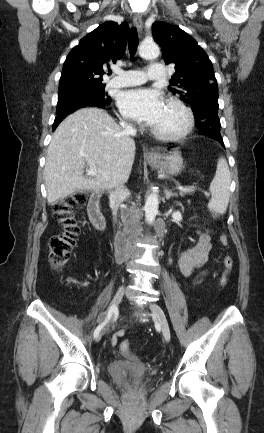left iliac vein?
<instances>
[{
	"instance_id": "1",
	"label": "left iliac vein",
	"mask_w": 264,
	"mask_h": 433,
	"mask_svg": "<svg viewBox=\"0 0 264 433\" xmlns=\"http://www.w3.org/2000/svg\"><path fill=\"white\" fill-rule=\"evenodd\" d=\"M150 309L153 313L154 318L156 319V321L159 323L164 339L169 342L170 338H171V333H170V328H169V324L167 321V318L163 312V310L161 309V307L155 303L150 304Z\"/></svg>"
}]
</instances>
